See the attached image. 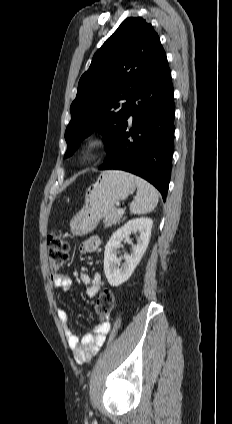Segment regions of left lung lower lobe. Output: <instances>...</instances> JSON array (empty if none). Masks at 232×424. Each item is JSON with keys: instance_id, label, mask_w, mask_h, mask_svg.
Here are the masks:
<instances>
[{"instance_id": "0a47b994", "label": "left lung lower lobe", "mask_w": 232, "mask_h": 424, "mask_svg": "<svg viewBox=\"0 0 232 424\" xmlns=\"http://www.w3.org/2000/svg\"><path fill=\"white\" fill-rule=\"evenodd\" d=\"M133 116L132 128L128 118ZM174 143V90L165 57L131 99L125 121L100 170L118 169L153 184L165 201Z\"/></svg>"}]
</instances>
